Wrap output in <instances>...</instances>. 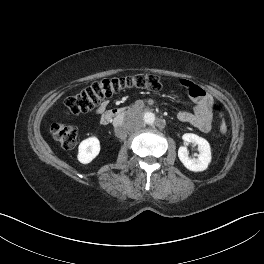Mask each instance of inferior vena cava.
I'll return each instance as SVG.
<instances>
[{
	"mask_svg": "<svg viewBox=\"0 0 264 264\" xmlns=\"http://www.w3.org/2000/svg\"><path fill=\"white\" fill-rule=\"evenodd\" d=\"M127 119V118H126ZM113 124H114V126H116V127H118V126H123V124H124V119H123V117H121V116H116V117H114V119H113Z\"/></svg>",
	"mask_w": 264,
	"mask_h": 264,
	"instance_id": "602c4592",
	"label": "inferior vena cava"
}]
</instances>
